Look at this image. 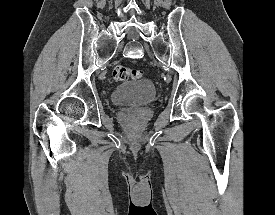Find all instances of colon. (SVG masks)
<instances>
[{
	"label": "colon",
	"mask_w": 275,
	"mask_h": 215,
	"mask_svg": "<svg viewBox=\"0 0 275 215\" xmlns=\"http://www.w3.org/2000/svg\"><path fill=\"white\" fill-rule=\"evenodd\" d=\"M113 79L116 82H126L136 80L142 77V71L130 69L128 67L117 65L112 72Z\"/></svg>",
	"instance_id": "1"
}]
</instances>
